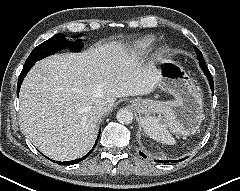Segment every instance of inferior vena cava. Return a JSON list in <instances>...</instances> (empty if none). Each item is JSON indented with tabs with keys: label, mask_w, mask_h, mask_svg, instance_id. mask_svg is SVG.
<instances>
[{
	"label": "inferior vena cava",
	"mask_w": 240,
	"mask_h": 191,
	"mask_svg": "<svg viewBox=\"0 0 240 191\" xmlns=\"http://www.w3.org/2000/svg\"><path fill=\"white\" fill-rule=\"evenodd\" d=\"M95 109L99 113H105L108 110V103L104 100H99L95 104Z\"/></svg>",
	"instance_id": "inferior-vena-cava-1"
}]
</instances>
